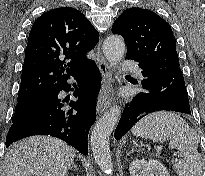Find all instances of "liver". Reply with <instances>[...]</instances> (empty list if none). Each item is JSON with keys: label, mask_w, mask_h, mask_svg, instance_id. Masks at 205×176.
I'll use <instances>...</instances> for the list:
<instances>
[{"label": "liver", "mask_w": 205, "mask_h": 176, "mask_svg": "<svg viewBox=\"0 0 205 176\" xmlns=\"http://www.w3.org/2000/svg\"><path fill=\"white\" fill-rule=\"evenodd\" d=\"M74 156V148L57 138L28 137L7 152L5 176H65Z\"/></svg>", "instance_id": "6515ba94"}]
</instances>
